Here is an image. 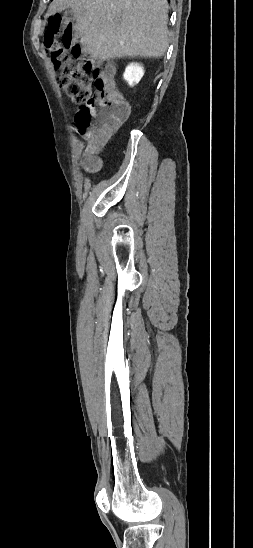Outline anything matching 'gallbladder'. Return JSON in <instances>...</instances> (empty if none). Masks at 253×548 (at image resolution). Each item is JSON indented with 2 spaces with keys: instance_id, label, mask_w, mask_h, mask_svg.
<instances>
[{
  "instance_id": "obj_1",
  "label": "gallbladder",
  "mask_w": 253,
  "mask_h": 548,
  "mask_svg": "<svg viewBox=\"0 0 253 548\" xmlns=\"http://www.w3.org/2000/svg\"><path fill=\"white\" fill-rule=\"evenodd\" d=\"M64 18L67 19V20H74L75 19V14L71 9H68V10L65 11Z\"/></svg>"
}]
</instances>
